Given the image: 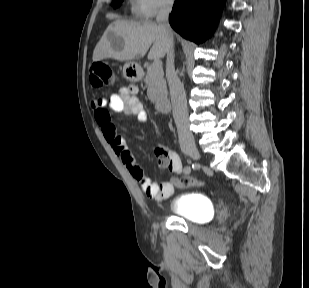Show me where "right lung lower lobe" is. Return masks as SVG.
<instances>
[{
  "mask_svg": "<svg viewBox=\"0 0 309 288\" xmlns=\"http://www.w3.org/2000/svg\"><path fill=\"white\" fill-rule=\"evenodd\" d=\"M224 0H175L170 24L183 37L203 42L214 29Z\"/></svg>",
  "mask_w": 309,
  "mask_h": 288,
  "instance_id": "98d812e1",
  "label": "right lung lower lobe"
}]
</instances>
